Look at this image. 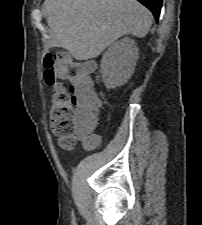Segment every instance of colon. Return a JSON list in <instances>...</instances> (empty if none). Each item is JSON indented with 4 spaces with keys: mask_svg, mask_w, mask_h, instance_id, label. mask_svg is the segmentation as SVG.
<instances>
[{
    "mask_svg": "<svg viewBox=\"0 0 202 225\" xmlns=\"http://www.w3.org/2000/svg\"><path fill=\"white\" fill-rule=\"evenodd\" d=\"M43 78L53 88L49 108L50 130L62 148L68 149L77 141L91 147L99 139L89 126L76 121V100L86 98L92 109H100L91 74L81 62L63 60L59 54H48L43 61ZM63 81L68 82L64 85Z\"/></svg>",
    "mask_w": 202,
    "mask_h": 225,
    "instance_id": "obj_1",
    "label": "colon"
}]
</instances>
